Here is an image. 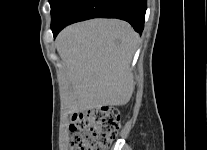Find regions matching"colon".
I'll return each mask as SVG.
<instances>
[{"label": "colon", "instance_id": "obj_1", "mask_svg": "<svg viewBox=\"0 0 207 150\" xmlns=\"http://www.w3.org/2000/svg\"><path fill=\"white\" fill-rule=\"evenodd\" d=\"M69 127L75 133L72 150H107L120 128V119L108 108L94 109L72 115Z\"/></svg>", "mask_w": 207, "mask_h": 150}]
</instances>
